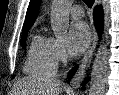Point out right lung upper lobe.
Segmentation results:
<instances>
[{"label":"right lung upper lobe","mask_w":119,"mask_h":95,"mask_svg":"<svg viewBox=\"0 0 119 95\" xmlns=\"http://www.w3.org/2000/svg\"><path fill=\"white\" fill-rule=\"evenodd\" d=\"M40 2L41 0H30L29 7L26 13L25 23L23 26V32L28 31L30 26L33 24L34 20L36 19Z\"/></svg>","instance_id":"obj_1"}]
</instances>
